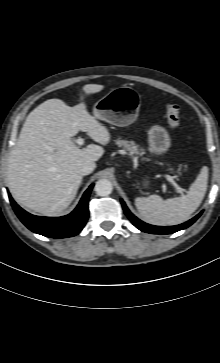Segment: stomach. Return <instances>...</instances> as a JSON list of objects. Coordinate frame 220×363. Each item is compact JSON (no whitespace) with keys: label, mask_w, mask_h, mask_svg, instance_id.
Masks as SVG:
<instances>
[{"label":"stomach","mask_w":220,"mask_h":363,"mask_svg":"<svg viewBox=\"0 0 220 363\" xmlns=\"http://www.w3.org/2000/svg\"><path fill=\"white\" fill-rule=\"evenodd\" d=\"M141 104L142 97L137 90L121 86L112 89L95 103L93 115L96 119L115 126H128L137 119ZM148 146L149 151L155 155L166 153L171 146L167 130L159 125H153L148 130ZM143 183L148 185L149 180L144 179Z\"/></svg>","instance_id":"obj_1"}]
</instances>
